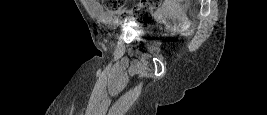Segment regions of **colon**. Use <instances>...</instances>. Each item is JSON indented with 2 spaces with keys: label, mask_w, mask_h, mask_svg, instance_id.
<instances>
[{
  "label": "colon",
  "mask_w": 267,
  "mask_h": 115,
  "mask_svg": "<svg viewBox=\"0 0 267 115\" xmlns=\"http://www.w3.org/2000/svg\"><path fill=\"white\" fill-rule=\"evenodd\" d=\"M181 2H187V0H181ZM160 3V0H142L132 8H126L124 0H103L105 9L123 21H146L150 18L152 8Z\"/></svg>",
  "instance_id": "1"
}]
</instances>
